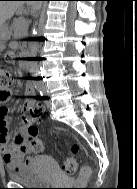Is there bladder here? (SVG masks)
I'll return each instance as SVG.
<instances>
[{"label":"bladder","mask_w":137,"mask_h":189,"mask_svg":"<svg viewBox=\"0 0 137 189\" xmlns=\"http://www.w3.org/2000/svg\"><path fill=\"white\" fill-rule=\"evenodd\" d=\"M58 175L59 166L51 156H39L33 164L9 172L12 181L32 186L46 185Z\"/></svg>","instance_id":"bladder-1"}]
</instances>
